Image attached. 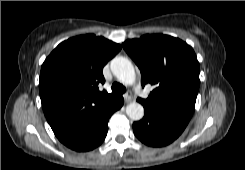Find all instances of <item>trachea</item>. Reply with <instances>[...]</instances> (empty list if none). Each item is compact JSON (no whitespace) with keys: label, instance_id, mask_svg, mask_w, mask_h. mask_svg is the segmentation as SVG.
<instances>
[{"label":"trachea","instance_id":"trachea-1","mask_svg":"<svg viewBox=\"0 0 245 170\" xmlns=\"http://www.w3.org/2000/svg\"><path fill=\"white\" fill-rule=\"evenodd\" d=\"M111 90L114 94H123L125 93L126 88L122 84L115 82L112 84Z\"/></svg>","mask_w":245,"mask_h":170}]
</instances>
